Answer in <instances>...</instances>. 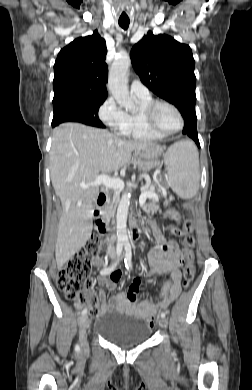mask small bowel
<instances>
[{"label":"small bowel","mask_w":252,"mask_h":390,"mask_svg":"<svg viewBox=\"0 0 252 390\" xmlns=\"http://www.w3.org/2000/svg\"><path fill=\"white\" fill-rule=\"evenodd\" d=\"M146 222L157 241L148 253L151 270L147 278L152 275L170 274V280L163 290V298L159 302H156L155 298L139 300L137 293L145 280L136 278L128 291L116 293L107 301L103 300L101 305L102 313L118 312L139 319H149L159 309H166L181 293L180 282L182 274L179 268L184 261L183 255L174 240H166L162 236L155 221L147 218ZM93 263L101 268L104 265L103 259L100 257L94 258ZM119 278V273H114L110 277L101 274L97 280L98 287L101 290L106 288L113 291L117 287ZM76 307L78 309L82 308L79 303L76 304Z\"/></svg>","instance_id":"small-bowel-1"}]
</instances>
